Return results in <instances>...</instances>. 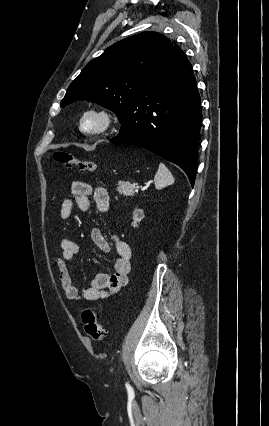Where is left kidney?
<instances>
[{
	"label": "left kidney",
	"mask_w": 269,
	"mask_h": 426,
	"mask_svg": "<svg viewBox=\"0 0 269 426\" xmlns=\"http://www.w3.org/2000/svg\"><path fill=\"white\" fill-rule=\"evenodd\" d=\"M144 218V212L143 210L137 208L133 212V227H137V223H139Z\"/></svg>",
	"instance_id": "obj_1"
}]
</instances>
